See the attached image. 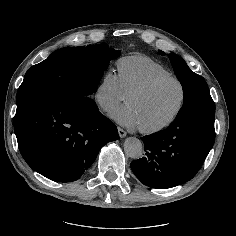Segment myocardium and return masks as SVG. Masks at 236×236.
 <instances>
[{"label": "myocardium", "instance_id": "f54148a6", "mask_svg": "<svg viewBox=\"0 0 236 236\" xmlns=\"http://www.w3.org/2000/svg\"><path fill=\"white\" fill-rule=\"evenodd\" d=\"M170 81L177 83L181 89V98H180V102H179L178 107L176 108L174 113L167 120L163 121L162 123H160L156 126L149 127V128L139 126V130L142 133H145V134L158 133L162 130H165L169 126H171L178 119V117L180 116L181 112L183 111V108L186 103L187 90H186L185 84L182 82V80H180L178 77H175V76L160 77V78H156V79L152 80L151 82L144 85L143 87L134 90L133 92H131L128 95L127 103L129 102L130 98L144 96V95L148 94L149 92H151L156 87H158L159 85L166 83V82H170Z\"/></svg>", "mask_w": 236, "mask_h": 236}]
</instances>
